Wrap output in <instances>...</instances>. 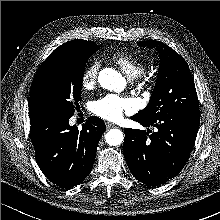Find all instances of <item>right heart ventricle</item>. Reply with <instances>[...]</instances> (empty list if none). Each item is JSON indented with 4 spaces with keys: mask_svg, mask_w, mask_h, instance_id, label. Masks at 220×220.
<instances>
[{
    "mask_svg": "<svg viewBox=\"0 0 220 220\" xmlns=\"http://www.w3.org/2000/svg\"><path fill=\"white\" fill-rule=\"evenodd\" d=\"M112 59L130 78H136L145 69L144 64L127 51L114 53Z\"/></svg>",
    "mask_w": 220,
    "mask_h": 220,
    "instance_id": "right-heart-ventricle-1",
    "label": "right heart ventricle"
}]
</instances>
